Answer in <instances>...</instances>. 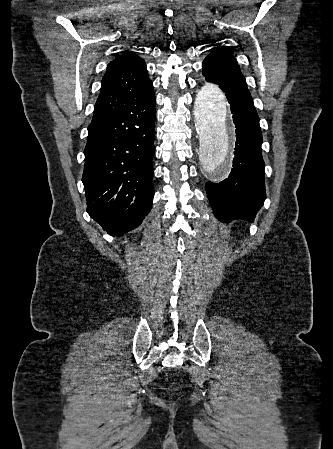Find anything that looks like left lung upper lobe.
Masks as SVG:
<instances>
[{"label":"left lung upper lobe","mask_w":333,"mask_h":449,"mask_svg":"<svg viewBox=\"0 0 333 449\" xmlns=\"http://www.w3.org/2000/svg\"><path fill=\"white\" fill-rule=\"evenodd\" d=\"M216 45L203 61V75L211 74L215 78L239 83L247 87L236 59L224 47Z\"/></svg>","instance_id":"1"}]
</instances>
